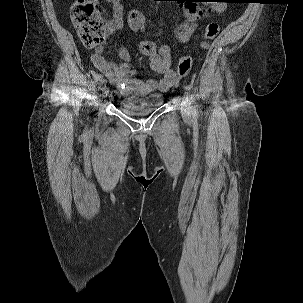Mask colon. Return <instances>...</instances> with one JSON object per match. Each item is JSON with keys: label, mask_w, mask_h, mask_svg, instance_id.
<instances>
[{"label": "colon", "mask_w": 303, "mask_h": 303, "mask_svg": "<svg viewBox=\"0 0 303 303\" xmlns=\"http://www.w3.org/2000/svg\"><path fill=\"white\" fill-rule=\"evenodd\" d=\"M71 19L84 46L95 48L103 44L110 27L101 17L96 0H74L71 5ZM218 33L219 25L217 22L207 24L205 29L207 40L216 38ZM203 46L206 47L207 44ZM191 65V57L183 56L178 63V75H185L190 70Z\"/></svg>", "instance_id": "colon-1"}]
</instances>
